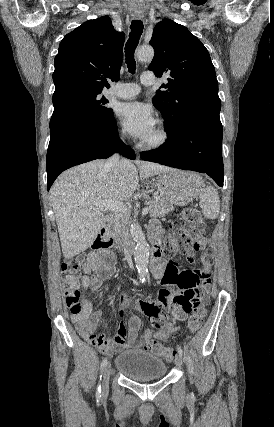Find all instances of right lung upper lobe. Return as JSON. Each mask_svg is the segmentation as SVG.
Here are the masks:
<instances>
[{
    "mask_svg": "<svg viewBox=\"0 0 274 427\" xmlns=\"http://www.w3.org/2000/svg\"><path fill=\"white\" fill-rule=\"evenodd\" d=\"M125 35L108 16L89 20L67 34L55 57L53 103L67 94L101 93L119 79Z\"/></svg>",
    "mask_w": 274,
    "mask_h": 427,
    "instance_id": "right-lung-upper-lobe-1",
    "label": "right lung upper lobe"
}]
</instances>
